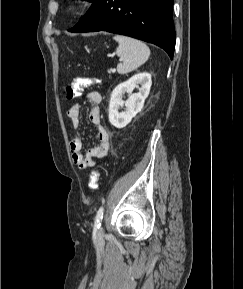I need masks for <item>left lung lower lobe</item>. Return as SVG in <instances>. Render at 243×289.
Masks as SVG:
<instances>
[{"label":"left lung lower lobe","mask_w":243,"mask_h":289,"mask_svg":"<svg viewBox=\"0 0 243 289\" xmlns=\"http://www.w3.org/2000/svg\"><path fill=\"white\" fill-rule=\"evenodd\" d=\"M173 0H94L69 32L107 31L153 43L173 58Z\"/></svg>","instance_id":"0a47b994"}]
</instances>
